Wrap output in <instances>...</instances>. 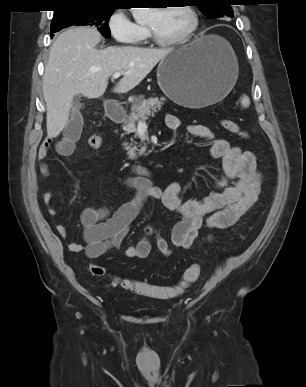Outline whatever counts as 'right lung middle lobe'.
I'll list each match as a JSON object with an SVG mask.
<instances>
[{
	"instance_id": "1",
	"label": "right lung middle lobe",
	"mask_w": 306,
	"mask_h": 387,
	"mask_svg": "<svg viewBox=\"0 0 306 387\" xmlns=\"http://www.w3.org/2000/svg\"><path fill=\"white\" fill-rule=\"evenodd\" d=\"M113 11L114 9L103 7L65 9L60 13L54 14L51 23V33L73 25H88L97 27L104 37L110 38V29L107 21Z\"/></svg>"
}]
</instances>
